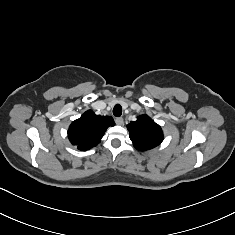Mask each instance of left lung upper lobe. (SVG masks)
<instances>
[{
	"instance_id": "5c2ea615",
	"label": "left lung upper lobe",
	"mask_w": 235,
	"mask_h": 235,
	"mask_svg": "<svg viewBox=\"0 0 235 235\" xmlns=\"http://www.w3.org/2000/svg\"><path fill=\"white\" fill-rule=\"evenodd\" d=\"M130 139L139 151H146L158 146L163 140L161 127L146 114L127 125Z\"/></svg>"
}]
</instances>
